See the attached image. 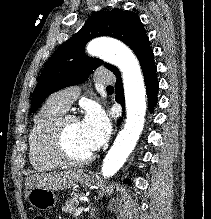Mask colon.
I'll return each instance as SVG.
<instances>
[{
    "label": "colon",
    "instance_id": "obj_1",
    "mask_svg": "<svg viewBox=\"0 0 211 219\" xmlns=\"http://www.w3.org/2000/svg\"><path fill=\"white\" fill-rule=\"evenodd\" d=\"M33 219H48V218L44 215H37Z\"/></svg>",
    "mask_w": 211,
    "mask_h": 219
}]
</instances>
